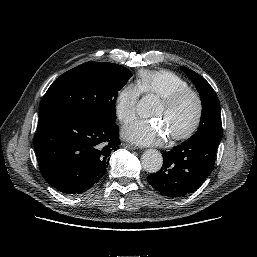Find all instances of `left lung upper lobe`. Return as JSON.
Instances as JSON below:
<instances>
[{"mask_svg": "<svg viewBox=\"0 0 257 257\" xmlns=\"http://www.w3.org/2000/svg\"><path fill=\"white\" fill-rule=\"evenodd\" d=\"M194 82L202 100V116L199 129L189 139H210L220 142L222 139V123L219 99L210 84L196 72L181 67Z\"/></svg>", "mask_w": 257, "mask_h": 257, "instance_id": "5c2ea615", "label": "left lung upper lobe"}]
</instances>
